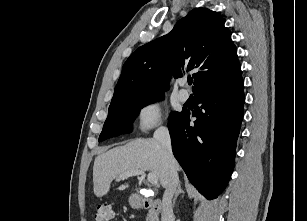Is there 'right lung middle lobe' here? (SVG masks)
<instances>
[{
	"label": "right lung middle lobe",
	"mask_w": 307,
	"mask_h": 221,
	"mask_svg": "<svg viewBox=\"0 0 307 221\" xmlns=\"http://www.w3.org/2000/svg\"><path fill=\"white\" fill-rule=\"evenodd\" d=\"M163 98L164 93H143L127 96L110 104L108 117L99 136V141L131 132L132 123L140 110L144 106ZM179 113L171 112L169 121L174 119Z\"/></svg>",
	"instance_id": "1"
}]
</instances>
